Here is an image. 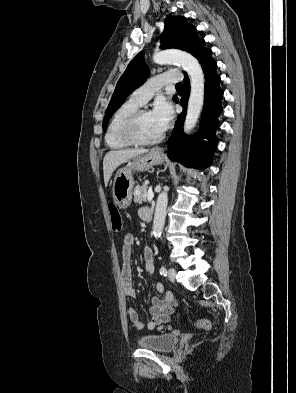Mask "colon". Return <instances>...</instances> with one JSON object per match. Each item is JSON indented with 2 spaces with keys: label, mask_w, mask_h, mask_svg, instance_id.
I'll return each instance as SVG.
<instances>
[{
  "label": "colon",
  "mask_w": 296,
  "mask_h": 393,
  "mask_svg": "<svg viewBox=\"0 0 296 393\" xmlns=\"http://www.w3.org/2000/svg\"><path fill=\"white\" fill-rule=\"evenodd\" d=\"M108 209L110 213L112 229L115 232H120L123 228V220L116 205L110 203ZM196 324L200 329L203 330H208L210 328V322L208 320H199Z\"/></svg>",
  "instance_id": "1"
}]
</instances>
